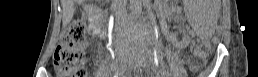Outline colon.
Masks as SVG:
<instances>
[{
	"label": "colon",
	"instance_id": "1",
	"mask_svg": "<svg viewBox=\"0 0 258 77\" xmlns=\"http://www.w3.org/2000/svg\"><path fill=\"white\" fill-rule=\"evenodd\" d=\"M87 41L81 23H72L63 32L54 56L53 64L60 77H85Z\"/></svg>",
	"mask_w": 258,
	"mask_h": 77
}]
</instances>
